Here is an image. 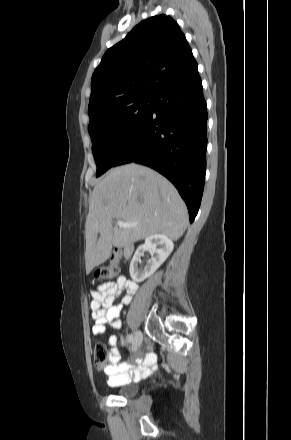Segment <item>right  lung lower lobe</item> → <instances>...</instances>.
Wrapping results in <instances>:
<instances>
[{"instance_id":"right-lung-lower-lobe-1","label":"right lung lower lobe","mask_w":291,"mask_h":440,"mask_svg":"<svg viewBox=\"0 0 291 440\" xmlns=\"http://www.w3.org/2000/svg\"><path fill=\"white\" fill-rule=\"evenodd\" d=\"M207 118L196 67L154 96L152 109L112 167L135 162L160 172L178 189L192 222L204 188Z\"/></svg>"}]
</instances>
